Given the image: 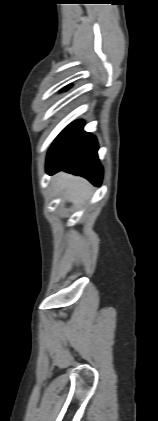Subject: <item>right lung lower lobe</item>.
<instances>
[{
    "label": "right lung lower lobe",
    "instance_id": "98d812e1",
    "mask_svg": "<svg viewBox=\"0 0 158 421\" xmlns=\"http://www.w3.org/2000/svg\"><path fill=\"white\" fill-rule=\"evenodd\" d=\"M84 123L75 122L66 127L53 142L46 161V171L54 174L66 171L87 178L100 186L103 170L99 163L96 138L84 132Z\"/></svg>",
    "mask_w": 158,
    "mask_h": 421
}]
</instances>
